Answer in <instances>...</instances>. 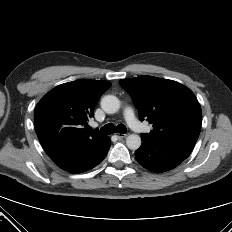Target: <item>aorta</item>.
<instances>
[{
	"label": "aorta",
	"instance_id": "1",
	"mask_svg": "<svg viewBox=\"0 0 232 232\" xmlns=\"http://www.w3.org/2000/svg\"><path fill=\"white\" fill-rule=\"evenodd\" d=\"M101 108L108 114L116 113L120 108V100L114 95H106L101 99ZM126 145L131 150H137L141 146V137L130 134L126 138Z\"/></svg>",
	"mask_w": 232,
	"mask_h": 232
}]
</instances>
